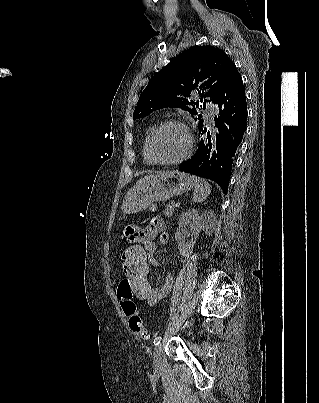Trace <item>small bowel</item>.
<instances>
[{
  "label": "small bowel",
  "instance_id": "c3829d8e",
  "mask_svg": "<svg viewBox=\"0 0 319 403\" xmlns=\"http://www.w3.org/2000/svg\"><path fill=\"white\" fill-rule=\"evenodd\" d=\"M122 239L130 242H144L145 256L149 259V266L158 267L159 262L154 257L157 251L158 243L165 245L169 241L168 234L165 232V224L161 218H154L152 222L144 227L136 228L134 224L122 225ZM158 239V242H156ZM174 279L171 273H167L162 286H153L152 296L148 297L147 303L150 306L157 305L171 291ZM129 296L135 300V288L130 287Z\"/></svg>",
  "mask_w": 319,
  "mask_h": 403
}]
</instances>
